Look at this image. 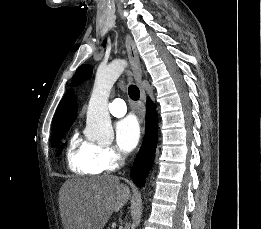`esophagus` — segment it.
Returning a JSON list of instances; mask_svg holds the SVG:
<instances>
[{
    "instance_id": "1",
    "label": "esophagus",
    "mask_w": 261,
    "mask_h": 229,
    "mask_svg": "<svg viewBox=\"0 0 261 229\" xmlns=\"http://www.w3.org/2000/svg\"><path fill=\"white\" fill-rule=\"evenodd\" d=\"M125 45H126V50H127V54H128V59L130 61L131 67H132V76L134 77L137 84L139 85L140 101L142 103V111L144 112L146 96H145V91H144V87L142 84V75H141V69H140L139 55H138V52H137L133 39L128 34L125 35Z\"/></svg>"
}]
</instances>
